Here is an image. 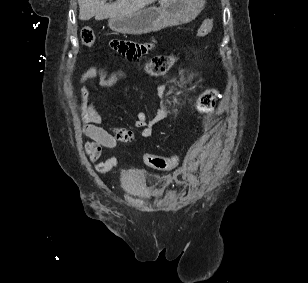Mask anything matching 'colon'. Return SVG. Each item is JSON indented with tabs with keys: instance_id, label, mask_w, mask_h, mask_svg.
<instances>
[{
	"instance_id": "5ec220e1",
	"label": "colon",
	"mask_w": 308,
	"mask_h": 283,
	"mask_svg": "<svg viewBox=\"0 0 308 283\" xmlns=\"http://www.w3.org/2000/svg\"><path fill=\"white\" fill-rule=\"evenodd\" d=\"M213 19L207 18L203 21L197 30L198 37L208 35L213 28ZM80 37L82 42L89 47L96 43V35L91 27L85 26L81 29ZM175 62L174 56L157 55L152 57L145 64V71L151 76L165 75ZM219 98V91L216 88H208L203 91L197 98L195 108L199 118L205 117L215 107L216 101ZM144 160L147 165L154 169L165 170L173 168L177 163V156H159L153 154H146Z\"/></svg>"
}]
</instances>
